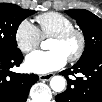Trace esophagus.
I'll return each mask as SVG.
<instances>
[{"instance_id":"esophagus-1","label":"esophagus","mask_w":102,"mask_h":102,"mask_svg":"<svg viewBox=\"0 0 102 102\" xmlns=\"http://www.w3.org/2000/svg\"><path fill=\"white\" fill-rule=\"evenodd\" d=\"M53 77V74H45V75H40L39 79L42 81H49Z\"/></svg>"}]
</instances>
